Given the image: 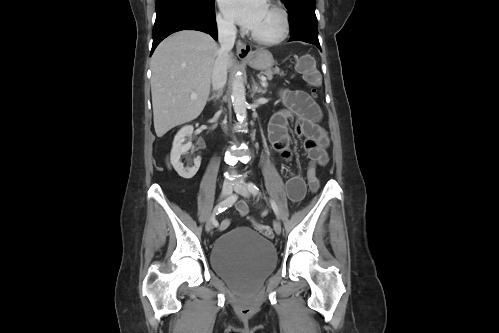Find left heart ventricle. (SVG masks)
Returning <instances> with one entry per match:
<instances>
[{"label":"left heart ventricle","mask_w":499,"mask_h":333,"mask_svg":"<svg viewBox=\"0 0 499 333\" xmlns=\"http://www.w3.org/2000/svg\"><path fill=\"white\" fill-rule=\"evenodd\" d=\"M282 28L280 14L267 7L256 26L251 30L262 38H274L279 35Z\"/></svg>","instance_id":"obj_1"}]
</instances>
